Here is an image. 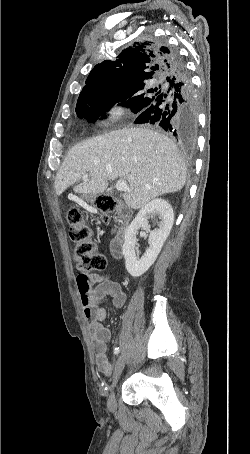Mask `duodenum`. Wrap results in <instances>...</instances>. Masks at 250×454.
Instances as JSON below:
<instances>
[{
  "mask_svg": "<svg viewBox=\"0 0 250 454\" xmlns=\"http://www.w3.org/2000/svg\"><path fill=\"white\" fill-rule=\"evenodd\" d=\"M120 213H121L122 216L126 215V212L124 210H121ZM121 246H122V244H121L120 237H117V238H115L112 241L111 248H112L113 255L115 257H119L120 256V254H121Z\"/></svg>",
  "mask_w": 250,
  "mask_h": 454,
  "instance_id": "duodenum-1",
  "label": "duodenum"
}]
</instances>
